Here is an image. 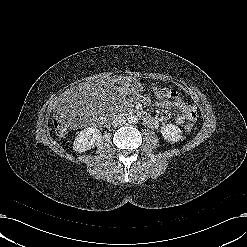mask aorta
Masks as SVG:
<instances>
[{"mask_svg": "<svg viewBox=\"0 0 247 247\" xmlns=\"http://www.w3.org/2000/svg\"><path fill=\"white\" fill-rule=\"evenodd\" d=\"M129 124H137L138 123V117L135 115H131L127 118Z\"/></svg>", "mask_w": 247, "mask_h": 247, "instance_id": "obj_1", "label": "aorta"}]
</instances>
